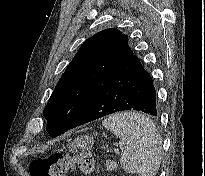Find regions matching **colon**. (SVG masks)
Instances as JSON below:
<instances>
[{
    "instance_id": "1",
    "label": "colon",
    "mask_w": 205,
    "mask_h": 176,
    "mask_svg": "<svg viewBox=\"0 0 205 176\" xmlns=\"http://www.w3.org/2000/svg\"><path fill=\"white\" fill-rule=\"evenodd\" d=\"M75 168L85 173H92L94 171L92 155L88 152L75 155L53 153L46 158L32 161L29 165V172L30 176H65Z\"/></svg>"
}]
</instances>
